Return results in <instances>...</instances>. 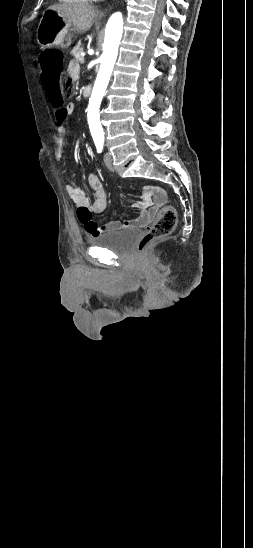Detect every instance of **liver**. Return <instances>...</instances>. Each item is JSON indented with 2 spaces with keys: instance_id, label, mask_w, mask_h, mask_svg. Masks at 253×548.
Segmentation results:
<instances>
[{
  "instance_id": "1",
  "label": "liver",
  "mask_w": 253,
  "mask_h": 548,
  "mask_svg": "<svg viewBox=\"0 0 253 548\" xmlns=\"http://www.w3.org/2000/svg\"><path fill=\"white\" fill-rule=\"evenodd\" d=\"M48 10L57 12L69 26H73L74 30L80 33H85L91 28L96 16L93 6L81 3L56 4L50 6Z\"/></svg>"
}]
</instances>
